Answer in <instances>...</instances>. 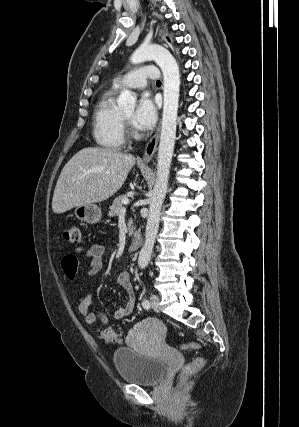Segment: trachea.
<instances>
[{
	"label": "trachea",
	"instance_id": "obj_1",
	"mask_svg": "<svg viewBox=\"0 0 299 427\" xmlns=\"http://www.w3.org/2000/svg\"><path fill=\"white\" fill-rule=\"evenodd\" d=\"M156 84H161V81L160 80L156 81Z\"/></svg>",
	"mask_w": 299,
	"mask_h": 427
}]
</instances>
